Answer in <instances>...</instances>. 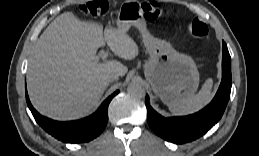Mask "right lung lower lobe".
I'll list each match as a JSON object with an SVG mask.
<instances>
[{
    "label": "right lung lower lobe",
    "instance_id": "obj_1",
    "mask_svg": "<svg viewBox=\"0 0 259 156\" xmlns=\"http://www.w3.org/2000/svg\"><path fill=\"white\" fill-rule=\"evenodd\" d=\"M118 90L110 95L91 116L69 122H58L40 115L31 105L27 90L26 101L36 122L49 134L66 143H81L99 136L108 121V105Z\"/></svg>",
    "mask_w": 259,
    "mask_h": 156
}]
</instances>
